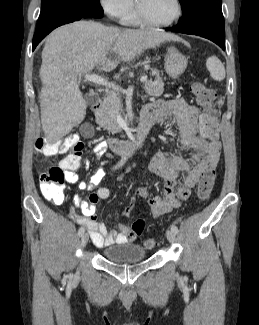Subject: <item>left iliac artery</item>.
Listing matches in <instances>:
<instances>
[{
  "label": "left iliac artery",
  "instance_id": "left-iliac-artery-1",
  "mask_svg": "<svg viewBox=\"0 0 259 325\" xmlns=\"http://www.w3.org/2000/svg\"><path fill=\"white\" fill-rule=\"evenodd\" d=\"M171 230H172L175 234L178 233V228H177V226L174 225V224L171 225Z\"/></svg>",
  "mask_w": 259,
  "mask_h": 325
}]
</instances>
